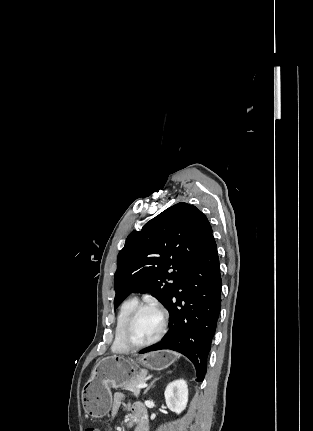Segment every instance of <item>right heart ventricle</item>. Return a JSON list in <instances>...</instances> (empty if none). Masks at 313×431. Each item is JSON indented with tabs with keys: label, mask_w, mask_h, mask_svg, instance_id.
<instances>
[{
	"label": "right heart ventricle",
	"mask_w": 313,
	"mask_h": 431,
	"mask_svg": "<svg viewBox=\"0 0 313 431\" xmlns=\"http://www.w3.org/2000/svg\"><path fill=\"white\" fill-rule=\"evenodd\" d=\"M137 304L138 299L136 297H129L121 303L116 316L114 340L112 343L113 352L124 353L129 350V348L123 342L122 333L129 314Z\"/></svg>",
	"instance_id": "e07e8e85"
}]
</instances>
